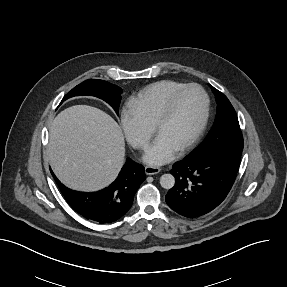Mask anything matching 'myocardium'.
Segmentation results:
<instances>
[{"label":"myocardium","instance_id":"1","mask_svg":"<svg viewBox=\"0 0 287 287\" xmlns=\"http://www.w3.org/2000/svg\"><path fill=\"white\" fill-rule=\"evenodd\" d=\"M189 89H196L201 93V95L203 97V112H202V117H201V120H200L197 128L195 129L193 134L189 137V139L179 149H177L178 153H183L186 150L190 149L196 143V141L200 138V136L202 135V133L204 132V130L206 128L208 118H209L210 101H209V97H208L207 93L205 92V90L201 86H199L198 84H194V83L185 84L182 87L175 90L166 100L162 110L160 111V113H159V115H158L157 119L155 120V123L152 127L153 133L156 135L158 129L169 118L177 97Z\"/></svg>","mask_w":287,"mask_h":287}]
</instances>
